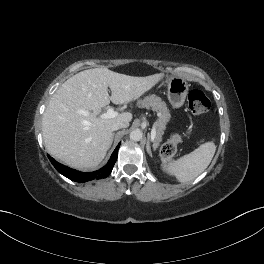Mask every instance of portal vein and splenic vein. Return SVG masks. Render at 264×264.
Instances as JSON below:
<instances>
[{"label":"portal vein and splenic vein","mask_w":264,"mask_h":264,"mask_svg":"<svg viewBox=\"0 0 264 264\" xmlns=\"http://www.w3.org/2000/svg\"><path fill=\"white\" fill-rule=\"evenodd\" d=\"M82 114H86L85 111H81ZM117 115V112L114 111L113 108H109L106 113L102 114L104 118H114ZM156 137V126L154 124L152 131H151V138L154 140Z\"/></svg>","instance_id":"18ae733b"}]
</instances>
